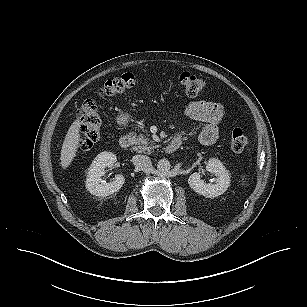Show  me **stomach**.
I'll return each mask as SVG.
<instances>
[{
    "mask_svg": "<svg viewBox=\"0 0 307 307\" xmlns=\"http://www.w3.org/2000/svg\"><path fill=\"white\" fill-rule=\"evenodd\" d=\"M129 119V115L128 114H120L118 117H117V122L121 125L123 124H126L127 121Z\"/></svg>",
    "mask_w": 307,
    "mask_h": 307,
    "instance_id": "1",
    "label": "stomach"
}]
</instances>
